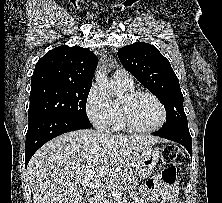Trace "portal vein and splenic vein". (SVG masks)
Wrapping results in <instances>:
<instances>
[{"label":"portal vein and splenic vein","instance_id":"portal-vein-and-splenic-vein-1","mask_svg":"<svg viewBox=\"0 0 222 203\" xmlns=\"http://www.w3.org/2000/svg\"><path fill=\"white\" fill-rule=\"evenodd\" d=\"M93 174H95V172H93ZM81 184L84 186H88L90 188L111 189V188L117 187L114 184H107V183H104L103 181H91L89 179L82 180Z\"/></svg>","mask_w":222,"mask_h":203}]
</instances>
